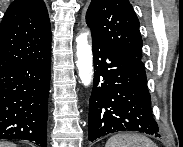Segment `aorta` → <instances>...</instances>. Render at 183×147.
Listing matches in <instances>:
<instances>
[{
  "label": "aorta",
  "mask_w": 183,
  "mask_h": 147,
  "mask_svg": "<svg viewBox=\"0 0 183 147\" xmlns=\"http://www.w3.org/2000/svg\"><path fill=\"white\" fill-rule=\"evenodd\" d=\"M77 61L79 78L84 86L90 85L93 79L92 50L88 44V32L81 33L77 39Z\"/></svg>",
  "instance_id": "obj_1"
}]
</instances>
